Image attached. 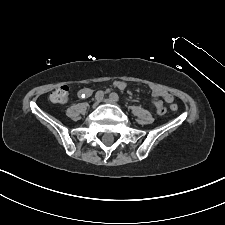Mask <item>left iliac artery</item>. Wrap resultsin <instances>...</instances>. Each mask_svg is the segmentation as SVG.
Returning <instances> with one entry per match:
<instances>
[{
	"label": "left iliac artery",
	"mask_w": 225,
	"mask_h": 225,
	"mask_svg": "<svg viewBox=\"0 0 225 225\" xmlns=\"http://www.w3.org/2000/svg\"><path fill=\"white\" fill-rule=\"evenodd\" d=\"M110 98L115 100V101H119V96L116 93H111Z\"/></svg>",
	"instance_id": "1"
}]
</instances>
